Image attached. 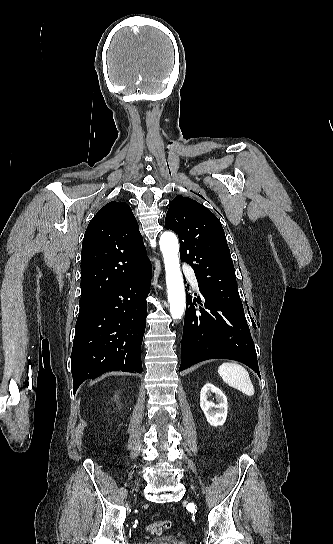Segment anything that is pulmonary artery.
I'll return each mask as SVG.
<instances>
[{"label":"pulmonary artery","mask_w":333,"mask_h":544,"mask_svg":"<svg viewBox=\"0 0 333 544\" xmlns=\"http://www.w3.org/2000/svg\"><path fill=\"white\" fill-rule=\"evenodd\" d=\"M184 273H185L186 277L190 280L191 284L194 287H197L198 283H197V280H196L195 273H194L193 269L191 267H189V266H185L184 267Z\"/></svg>","instance_id":"e3ab8cb5"}]
</instances>
